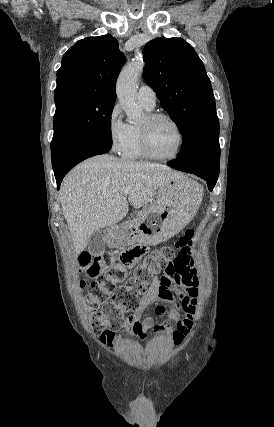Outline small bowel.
<instances>
[{
    "instance_id": "1",
    "label": "small bowel",
    "mask_w": 274,
    "mask_h": 427,
    "mask_svg": "<svg viewBox=\"0 0 274 427\" xmlns=\"http://www.w3.org/2000/svg\"><path fill=\"white\" fill-rule=\"evenodd\" d=\"M179 250H181L180 254L175 253L169 257L170 260L178 263L170 264L164 275L153 279L149 289L139 300L134 313L129 315L122 324V327L130 330L141 342H146L148 330L154 327L153 320L147 315V311L155 303H168L175 313L184 314V317L178 321L177 331L173 335L175 343H181L193 325L199 294V277L190 245L185 244L179 247ZM139 257L132 261L129 268ZM166 311L167 306L161 305L160 311L153 312V319L156 320L154 330L157 335L163 332L161 327L166 323ZM105 325L107 329L103 333L102 340L111 343L115 336L114 329L118 324L106 323Z\"/></svg>"
}]
</instances>
